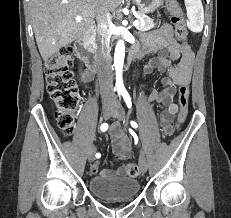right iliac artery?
Here are the masks:
<instances>
[{"label":"right iliac artery","instance_id":"obj_1","mask_svg":"<svg viewBox=\"0 0 231 218\" xmlns=\"http://www.w3.org/2000/svg\"><path fill=\"white\" fill-rule=\"evenodd\" d=\"M100 128H101L102 131H106L108 129V124L107 123H103ZM100 157H101V154L100 153H96V158H100Z\"/></svg>","mask_w":231,"mask_h":218}]
</instances>
